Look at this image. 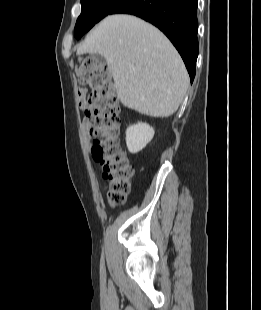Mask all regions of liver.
Segmentation results:
<instances>
[{"label": "liver", "instance_id": "obj_1", "mask_svg": "<svg viewBox=\"0 0 261 310\" xmlns=\"http://www.w3.org/2000/svg\"><path fill=\"white\" fill-rule=\"evenodd\" d=\"M85 53L106 59L118 99L144 115L171 116L189 86L185 65L167 37L132 15L103 19L77 50Z\"/></svg>", "mask_w": 261, "mask_h": 310}]
</instances>
